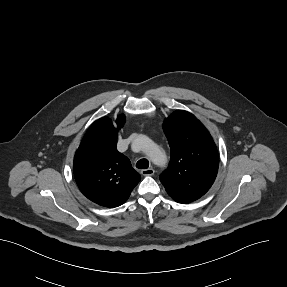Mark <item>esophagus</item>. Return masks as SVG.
Returning <instances> with one entry per match:
<instances>
[{"instance_id":"1","label":"esophagus","mask_w":287,"mask_h":287,"mask_svg":"<svg viewBox=\"0 0 287 287\" xmlns=\"http://www.w3.org/2000/svg\"><path fill=\"white\" fill-rule=\"evenodd\" d=\"M154 173H155V171L152 168L144 169V170L141 171V174L143 176H152V175H154Z\"/></svg>"}]
</instances>
